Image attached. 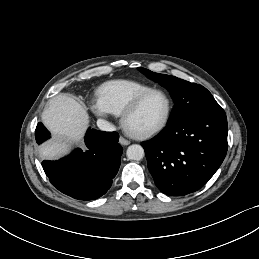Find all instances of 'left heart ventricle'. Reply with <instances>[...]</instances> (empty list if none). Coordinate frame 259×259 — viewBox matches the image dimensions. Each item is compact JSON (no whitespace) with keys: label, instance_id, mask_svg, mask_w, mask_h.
<instances>
[{"label":"left heart ventricle","instance_id":"b2bd125f","mask_svg":"<svg viewBox=\"0 0 259 259\" xmlns=\"http://www.w3.org/2000/svg\"><path fill=\"white\" fill-rule=\"evenodd\" d=\"M166 107L167 102L164 95L161 93L151 94L127 119V126L135 132L151 129L161 122L165 115Z\"/></svg>","mask_w":259,"mask_h":259}]
</instances>
